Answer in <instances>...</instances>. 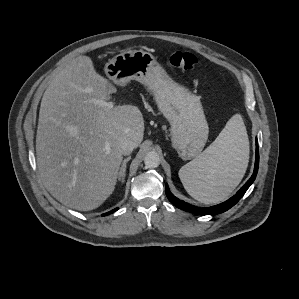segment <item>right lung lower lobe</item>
<instances>
[{
    "instance_id": "98d812e1",
    "label": "right lung lower lobe",
    "mask_w": 299,
    "mask_h": 299,
    "mask_svg": "<svg viewBox=\"0 0 299 299\" xmlns=\"http://www.w3.org/2000/svg\"><path fill=\"white\" fill-rule=\"evenodd\" d=\"M116 210H118V208H116V209H114V210H112V211H110V212H107V213L103 214V216H105V215H109V214L115 212Z\"/></svg>"
}]
</instances>
